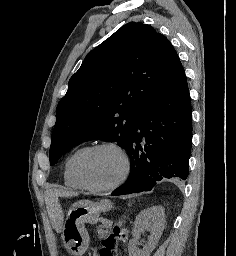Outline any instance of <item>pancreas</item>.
Returning a JSON list of instances; mask_svg holds the SVG:
<instances>
[{
    "instance_id": "1",
    "label": "pancreas",
    "mask_w": 236,
    "mask_h": 256,
    "mask_svg": "<svg viewBox=\"0 0 236 256\" xmlns=\"http://www.w3.org/2000/svg\"><path fill=\"white\" fill-rule=\"evenodd\" d=\"M99 230L97 232V235L99 236V238H102V236L106 235L107 230H103V228H105V226H98Z\"/></svg>"
}]
</instances>
